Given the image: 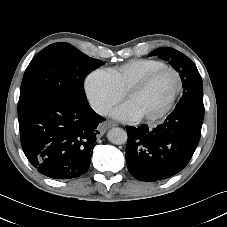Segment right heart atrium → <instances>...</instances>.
Masks as SVG:
<instances>
[{
    "label": "right heart atrium",
    "instance_id": "d8ad5b80",
    "mask_svg": "<svg viewBox=\"0 0 227 227\" xmlns=\"http://www.w3.org/2000/svg\"><path fill=\"white\" fill-rule=\"evenodd\" d=\"M84 91L93 109L101 115L107 114L122 95L105 69L95 70L86 76Z\"/></svg>",
    "mask_w": 227,
    "mask_h": 227
}]
</instances>
